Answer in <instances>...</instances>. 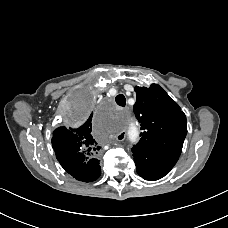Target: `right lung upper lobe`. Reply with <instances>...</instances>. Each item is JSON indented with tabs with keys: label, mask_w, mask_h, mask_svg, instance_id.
<instances>
[{
	"label": "right lung upper lobe",
	"mask_w": 228,
	"mask_h": 228,
	"mask_svg": "<svg viewBox=\"0 0 228 228\" xmlns=\"http://www.w3.org/2000/svg\"><path fill=\"white\" fill-rule=\"evenodd\" d=\"M92 116L79 127H59L53 132L52 146L58 161L71 160L81 175L87 176V181L95 172L96 159L101 145L92 135Z\"/></svg>",
	"instance_id": "cb5924a9"
}]
</instances>
